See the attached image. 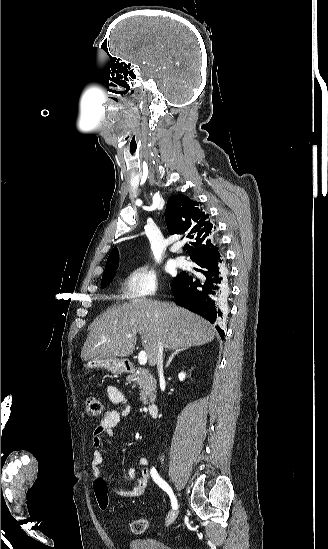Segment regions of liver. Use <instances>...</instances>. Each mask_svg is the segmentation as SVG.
<instances>
[{
	"label": "liver",
	"mask_w": 328,
	"mask_h": 549,
	"mask_svg": "<svg viewBox=\"0 0 328 549\" xmlns=\"http://www.w3.org/2000/svg\"><path fill=\"white\" fill-rule=\"evenodd\" d=\"M137 333L141 335L151 367L157 363L159 343L163 349L175 351L181 347H199L214 339L209 321L177 307L175 303L132 299L95 319L81 351V359L129 357L135 349Z\"/></svg>",
	"instance_id": "1"
}]
</instances>
